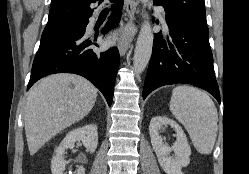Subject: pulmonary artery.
Here are the masks:
<instances>
[{"instance_id": "1", "label": "pulmonary artery", "mask_w": 249, "mask_h": 174, "mask_svg": "<svg viewBox=\"0 0 249 174\" xmlns=\"http://www.w3.org/2000/svg\"><path fill=\"white\" fill-rule=\"evenodd\" d=\"M154 11L158 15V17L160 18L164 28L167 29L166 17H165V13H164L163 9L159 8V7H155Z\"/></svg>"}]
</instances>
